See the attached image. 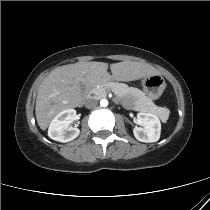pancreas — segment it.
<instances>
[{
	"label": "pancreas",
	"instance_id": "obj_1",
	"mask_svg": "<svg viewBox=\"0 0 210 210\" xmlns=\"http://www.w3.org/2000/svg\"><path fill=\"white\" fill-rule=\"evenodd\" d=\"M111 90L119 97L126 95H133L137 101L134 106L136 111L157 113L158 107L145 96L144 92L137 88L129 87L124 83L118 82H108L105 84H100L97 87H94L91 92L96 98H103L107 95L108 91Z\"/></svg>",
	"mask_w": 210,
	"mask_h": 210
}]
</instances>
